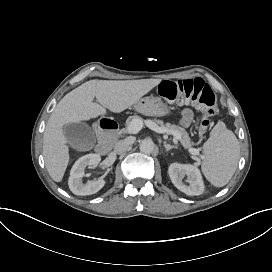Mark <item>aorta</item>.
I'll use <instances>...</instances> for the list:
<instances>
[{"instance_id": "obj_1", "label": "aorta", "mask_w": 272, "mask_h": 272, "mask_svg": "<svg viewBox=\"0 0 272 272\" xmlns=\"http://www.w3.org/2000/svg\"><path fill=\"white\" fill-rule=\"evenodd\" d=\"M155 150V144L152 140H143L140 143V151L144 154H152Z\"/></svg>"}]
</instances>
